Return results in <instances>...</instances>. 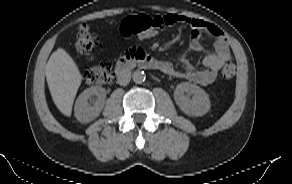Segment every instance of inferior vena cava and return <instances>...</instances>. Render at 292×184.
<instances>
[{
    "mask_svg": "<svg viewBox=\"0 0 292 184\" xmlns=\"http://www.w3.org/2000/svg\"><path fill=\"white\" fill-rule=\"evenodd\" d=\"M131 72L130 70H123L118 74L117 83L119 85L125 86L130 82Z\"/></svg>",
    "mask_w": 292,
    "mask_h": 184,
    "instance_id": "602c4592",
    "label": "inferior vena cava"
}]
</instances>
